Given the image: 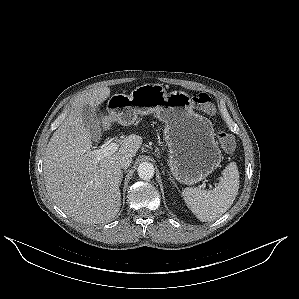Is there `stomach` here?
<instances>
[{
	"label": "stomach",
	"mask_w": 299,
	"mask_h": 299,
	"mask_svg": "<svg viewBox=\"0 0 299 299\" xmlns=\"http://www.w3.org/2000/svg\"><path fill=\"white\" fill-rule=\"evenodd\" d=\"M116 110L121 111L127 122L134 121L138 115L156 113L165 124L169 166L177 181L192 185L219 166L222 155L213 126L206 117L194 111V102L186 92L167 94L160 84H145L130 95H113L109 111Z\"/></svg>",
	"instance_id": "stomach-1"
}]
</instances>
